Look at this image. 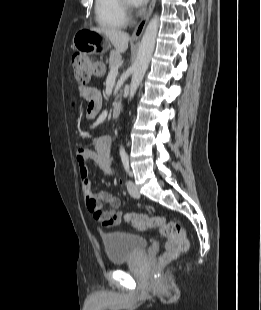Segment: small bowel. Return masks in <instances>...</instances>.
<instances>
[{"label":"small bowel","mask_w":261,"mask_h":310,"mask_svg":"<svg viewBox=\"0 0 261 310\" xmlns=\"http://www.w3.org/2000/svg\"><path fill=\"white\" fill-rule=\"evenodd\" d=\"M79 94L89 102L87 117L89 119L95 118L101 109L99 90L91 86H82L79 88ZM88 160H93L104 172L113 175L110 139L96 138L91 141L90 147L78 149L76 162L87 210L95 220L100 221L104 226H117L125 218L124 212L117 211L120 200L107 192H92ZM103 204H106L108 208L103 209Z\"/></svg>","instance_id":"small-bowel-1"}]
</instances>
